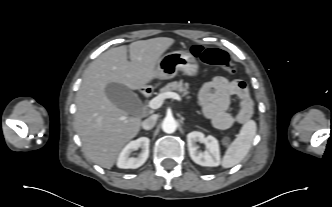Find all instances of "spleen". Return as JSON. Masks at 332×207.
<instances>
[{"instance_id": "3e777b00", "label": "spleen", "mask_w": 332, "mask_h": 207, "mask_svg": "<svg viewBox=\"0 0 332 207\" xmlns=\"http://www.w3.org/2000/svg\"><path fill=\"white\" fill-rule=\"evenodd\" d=\"M256 123L247 121L241 128L237 138L230 144L222 159V166L230 168L240 163L249 152L256 135Z\"/></svg>"}]
</instances>
